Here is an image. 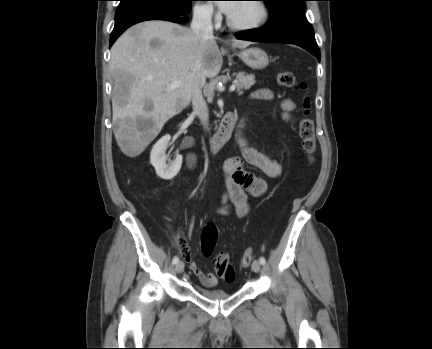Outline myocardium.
<instances>
[{"mask_svg":"<svg viewBox=\"0 0 432 349\" xmlns=\"http://www.w3.org/2000/svg\"><path fill=\"white\" fill-rule=\"evenodd\" d=\"M254 3H256V5L259 7L260 9V17L252 22V23H248V24H238L236 22H234L229 15H227L226 17V22L227 25L236 31H252V30H256L260 27H262L269 19V8L267 6V4L265 3L264 0H251Z\"/></svg>","mask_w":432,"mask_h":349,"instance_id":"f54148a6","label":"myocardium"}]
</instances>
